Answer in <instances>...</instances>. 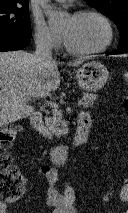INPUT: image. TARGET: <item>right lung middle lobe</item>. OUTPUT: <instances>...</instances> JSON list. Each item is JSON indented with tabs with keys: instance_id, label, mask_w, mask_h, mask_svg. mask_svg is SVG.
<instances>
[{
	"instance_id": "right-lung-middle-lobe-1",
	"label": "right lung middle lobe",
	"mask_w": 128,
	"mask_h": 213,
	"mask_svg": "<svg viewBox=\"0 0 128 213\" xmlns=\"http://www.w3.org/2000/svg\"><path fill=\"white\" fill-rule=\"evenodd\" d=\"M27 5L0 6V36H31Z\"/></svg>"
}]
</instances>
